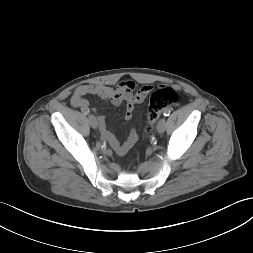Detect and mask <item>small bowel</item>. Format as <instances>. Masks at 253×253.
<instances>
[{"instance_id": "obj_1", "label": "small bowel", "mask_w": 253, "mask_h": 253, "mask_svg": "<svg viewBox=\"0 0 253 253\" xmlns=\"http://www.w3.org/2000/svg\"><path fill=\"white\" fill-rule=\"evenodd\" d=\"M135 89V83L130 80L122 81L115 88L102 84H84L75 89L70 102L73 107L79 108L82 112L89 109V101L85 98L86 95H96L102 99L111 101L114 105L126 102L124 117L126 120H130L133 117L135 105L142 103L153 87L144 85L138 90ZM99 126L101 135L119 155H124L138 139L137 132L131 129L126 140L120 143L116 136L107 129L102 116L99 117Z\"/></svg>"}]
</instances>
